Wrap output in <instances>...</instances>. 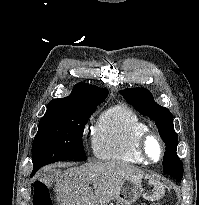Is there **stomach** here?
<instances>
[{
    "label": "stomach",
    "instance_id": "0dacf381",
    "mask_svg": "<svg viewBox=\"0 0 199 205\" xmlns=\"http://www.w3.org/2000/svg\"><path fill=\"white\" fill-rule=\"evenodd\" d=\"M164 193L165 185L160 180L149 175H134L123 180L114 202L116 205H132L140 197L157 201Z\"/></svg>",
    "mask_w": 199,
    "mask_h": 205
}]
</instances>
